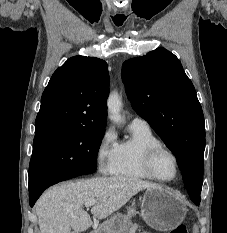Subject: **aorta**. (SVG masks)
Segmentation results:
<instances>
[{
  "label": "aorta",
  "instance_id": "762f6f07",
  "mask_svg": "<svg viewBox=\"0 0 227 233\" xmlns=\"http://www.w3.org/2000/svg\"><path fill=\"white\" fill-rule=\"evenodd\" d=\"M109 118L115 123L121 122L122 118L120 115L122 101L118 93L113 91L110 93L107 101Z\"/></svg>",
  "mask_w": 227,
  "mask_h": 233
}]
</instances>
